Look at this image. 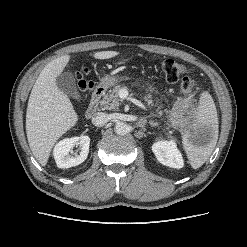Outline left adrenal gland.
Wrapping results in <instances>:
<instances>
[{
    "instance_id": "left-adrenal-gland-1",
    "label": "left adrenal gland",
    "mask_w": 247,
    "mask_h": 247,
    "mask_svg": "<svg viewBox=\"0 0 247 247\" xmlns=\"http://www.w3.org/2000/svg\"><path fill=\"white\" fill-rule=\"evenodd\" d=\"M150 126H151V127H156V126H158V123H153V122H152V123H150Z\"/></svg>"
}]
</instances>
